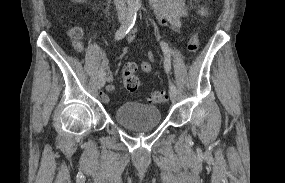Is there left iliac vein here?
<instances>
[{"label":"left iliac vein","mask_w":285,"mask_h":183,"mask_svg":"<svg viewBox=\"0 0 285 183\" xmlns=\"http://www.w3.org/2000/svg\"><path fill=\"white\" fill-rule=\"evenodd\" d=\"M170 100L172 103L177 101V93L175 91L170 90Z\"/></svg>","instance_id":"4c4485c4"}]
</instances>
